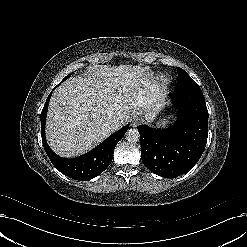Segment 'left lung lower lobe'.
Segmentation results:
<instances>
[{"label": "left lung lower lobe", "mask_w": 247, "mask_h": 247, "mask_svg": "<svg viewBox=\"0 0 247 247\" xmlns=\"http://www.w3.org/2000/svg\"><path fill=\"white\" fill-rule=\"evenodd\" d=\"M179 111L176 125L168 129L137 127L141 159L154 174L175 178L187 173L200 159L208 137V111L199 86L170 93Z\"/></svg>", "instance_id": "1"}]
</instances>
